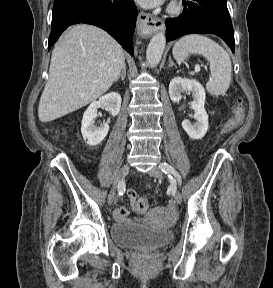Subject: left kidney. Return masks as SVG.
Segmentation results:
<instances>
[{
	"instance_id": "5707ae66",
	"label": "left kidney",
	"mask_w": 273,
	"mask_h": 288,
	"mask_svg": "<svg viewBox=\"0 0 273 288\" xmlns=\"http://www.w3.org/2000/svg\"><path fill=\"white\" fill-rule=\"evenodd\" d=\"M183 92H192L193 101L191 103L194 110L193 118L195 124H191L189 120L182 122V127L191 139L199 140L204 137L208 130V115L204 108L205 90L203 86L194 79L175 77L169 84V96L173 102H179Z\"/></svg>"
}]
</instances>
